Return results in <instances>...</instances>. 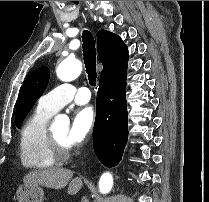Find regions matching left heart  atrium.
I'll return each instance as SVG.
<instances>
[{
    "mask_svg": "<svg viewBox=\"0 0 209 202\" xmlns=\"http://www.w3.org/2000/svg\"><path fill=\"white\" fill-rule=\"evenodd\" d=\"M95 121L96 112L92 106H84L75 110L66 136L67 144L74 146L84 142L91 133Z\"/></svg>",
    "mask_w": 209,
    "mask_h": 202,
    "instance_id": "left-heart-atrium-1",
    "label": "left heart atrium"
}]
</instances>
